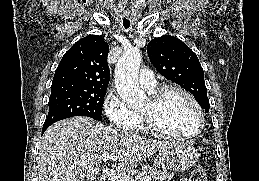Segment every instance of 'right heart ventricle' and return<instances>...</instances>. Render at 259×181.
<instances>
[{
	"label": "right heart ventricle",
	"instance_id": "obj_1",
	"mask_svg": "<svg viewBox=\"0 0 259 181\" xmlns=\"http://www.w3.org/2000/svg\"><path fill=\"white\" fill-rule=\"evenodd\" d=\"M155 88L148 90L149 93L153 92ZM132 130L146 132V128L144 126L141 114L139 112H134V122L132 125Z\"/></svg>",
	"mask_w": 259,
	"mask_h": 181
}]
</instances>
